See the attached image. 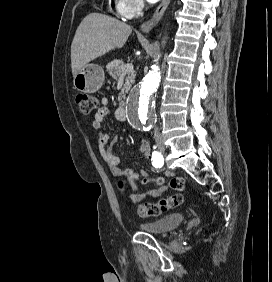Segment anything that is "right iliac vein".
I'll use <instances>...</instances> for the list:
<instances>
[{"instance_id":"63e3f726","label":"right iliac vein","mask_w":272,"mask_h":282,"mask_svg":"<svg viewBox=\"0 0 272 282\" xmlns=\"http://www.w3.org/2000/svg\"><path fill=\"white\" fill-rule=\"evenodd\" d=\"M158 149H159L160 152H163V151H164V145H163L162 142H159V143H158Z\"/></svg>"}]
</instances>
